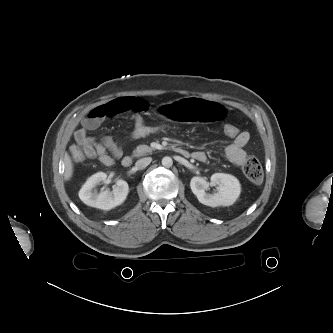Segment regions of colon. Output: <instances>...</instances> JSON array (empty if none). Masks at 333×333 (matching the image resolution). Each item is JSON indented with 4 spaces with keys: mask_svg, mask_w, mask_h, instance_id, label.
<instances>
[{
    "mask_svg": "<svg viewBox=\"0 0 333 333\" xmlns=\"http://www.w3.org/2000/svg\"><path fill=\"white\" fill-rule=\"evenodd\" d=\"M173 127L166 121H140L134 122L131 130L128 133L129 138L132 140H142L154 136L166 135L173 131ZM224 133L229 138L234 139L240 133L237 126L233 124H226L224 126ZM72 157L77 162L86 160L85 154L77 148H72ZM243 172L248 180L254 184H259L263 180V169L259 160L254 156H249L243 164Z\"/></svg>",
    "mask_w": 333,
    "mask_h": 333,
    "instance_id": "5ec220e1",
    "label": "colon"
}]
</instances>
